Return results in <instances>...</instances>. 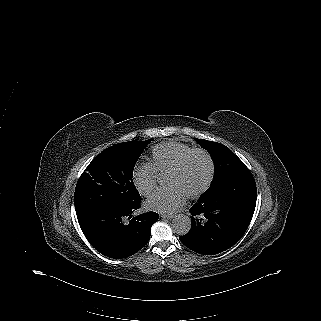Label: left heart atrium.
<instances>
[{
    "label": "left heart atrium",
    "instance_id": "obj_1",
    "mask_svg": "<svg viewBox=\"0 0 321 321\" xmlns=\"http://www.w3.org/2000/svg\"><path fill=\"white\" fill-rule=\"evenodd\" d=\"M183 194L176 190L161 189L151 198V205L164 212L172 214L182 203Z\"/></svg>",
    "mask_w": 321,
    "mask_h": 321
}]
</instances>
